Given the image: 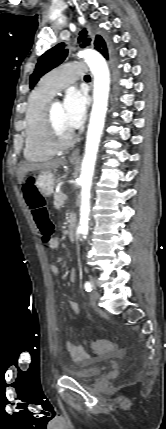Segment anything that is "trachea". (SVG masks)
I'll use <instances>...</instances> for the list:
<instances>
[{
  "label": "trachea",
  "instance_id": "obj_1",
  "mask_svg": "<svg viewBox=\"0 0 166 429\" xmlns=\"http://www.w3.org/2000/svg\"><path fill=\"white\" fill-rule=\"evenodd\" d=\"M85 79H90V76H89V75H86V76H85Z\"/></svg>",
  "mask_w": 166,
  "mask_h": 429
}]
</instances>
